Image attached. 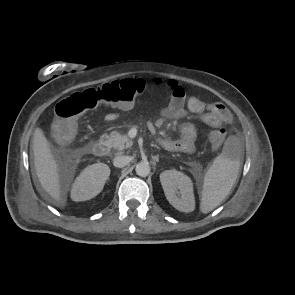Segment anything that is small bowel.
<instances>
[{
	"mask_svg": "<svg viewBox=\"0 0 295 295\" xmlns=\"http://www.w3.org/2000/svg\"><path fill=\"white\" fill-rule=\"evenodd\" d=\"M154 84H163L162 79L156 78ZM167 85L171 91L169 105L161 112V120H178L185 118L188 113H195L201 116L202 121L211 127H220L232 122V115L227 107L219 102L207 103L196 96L186 97L184 89L175 80H169ZM133 107V106H132ZM130 108L122 109L129 110ZM119 118L118 113H108L105 120L115 121ZM196 129L192 124H186L178 139L161 138L160 145L174 152L191 154L195 151Z\"/></svg>",
	"mask_w": 295,
	"mask_h": 295,
	"instance_id": "c3829d8e",
	"label": "small bowel"
}]
</instances>
